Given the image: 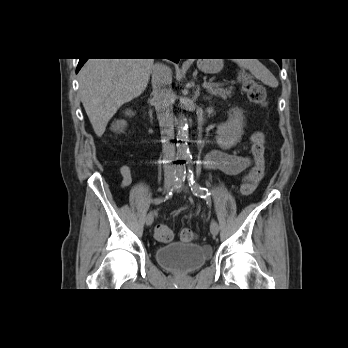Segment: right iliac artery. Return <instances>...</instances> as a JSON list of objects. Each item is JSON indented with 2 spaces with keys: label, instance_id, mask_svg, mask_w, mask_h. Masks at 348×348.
I'll return each instance as SVG.
<instances>
[{
  "label": "right iliac artery",
  "instance_id": "1",
  "mask_svg": "<svg viewBox=\"0 0 348 348\" xmlns=\"http://www.w3.org/2000/svg\"><path fill=\"white\" fill-rule=\"evenodd\" d=\"M185 178H186V169H185V167H180L175 174V180H174L175 184L173 186V189L167 194L166 198L172 194L173 190H177L178 188H180V186H181L182 182L185 180ZM166 198H156V199H154V203L160 204L163 201H165Z\"/></svg>",
  "mask_w": 348,
  "mask_h": 348
}]
</instances>
